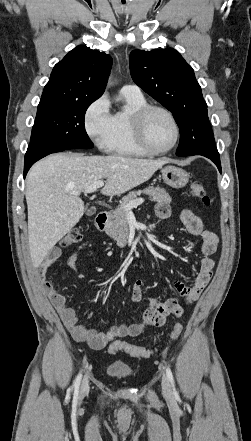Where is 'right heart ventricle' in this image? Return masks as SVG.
<instances>
[{
  "mask_svg": "<svg viewBox=\"0 0 251 441\" xmlns=\"http://www.w3.org/2000/svg\"><path fill=\"white\" fill-rule=\"evenodd\" d=\"M121 95L125 106L111 115V131L106 150L121 156H147L149 153L143 150L136 141L132 125L134 114L148 105L147 100L142 93L121 92Z\"/></svg>",
  "mask_w": 251,
  "mask_h": 441,
  "instance_id": "e07e8e85",
  "label": "right heart ventricle"
}]
</instances>
